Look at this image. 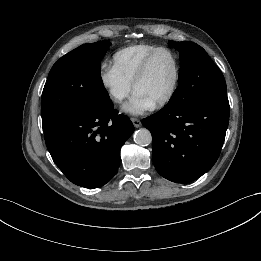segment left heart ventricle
<instances>
[{
    "mask_svg": "<svg viewBox=\"0 0 261 261\" xmlns=\"http://www.w3.org/2000/svg\"><path fill=\"white\" fill-rule=\"evenodd\" d=\"M174 78V62L167 52L158 53L152 60L145 78L135 91L142 93L154 104L169 91Z\"/></svg>",
    "mask_w": 261,
    "mask_h": 261,
    "instance_id": "b2bd125f",
    "label": "left heart ventricle"
}]
</instances>
